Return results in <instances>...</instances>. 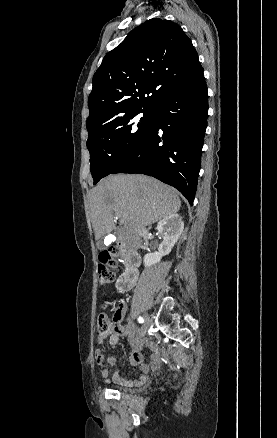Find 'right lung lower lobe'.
<instances>
[{"label": "right lung lower lobe", "mask_w": 277, "mask_h": 438, "mask_svg": "<svg viewBox=\"0 0 277 438\" xmlns=\"http://www.w3.org/2000/svg\"><path fill=\"white\" fill-rule=\"evenodd\" d=\"M167 68L174 72L178 66ZM152 110L149 131L112 174L153 176L178 189L192 205L208 117L204 73L164 93Z\"/></svg>", "instance_id": "1"}]
</instances>
